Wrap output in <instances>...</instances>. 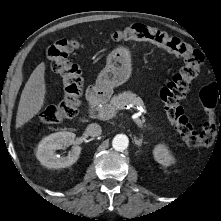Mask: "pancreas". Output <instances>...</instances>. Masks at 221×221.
<instances>
[{
	"label": "pancreas",
	"instance_id": "obj_1",
	"mask_svg": "<svg viewBox=\"0 0 221 221\" xmlns=\"http://www.w3.org/2000/svg\"><path fill=\"white\" fill-rule=\"evenodd\" d=\"M132 104L134 108L136 107H144L143 100L138 97L135 93H132L130 91H124L123 93H120L116 96H113L110 100L109 104L104 105L101 108H97V110H111V111H117L122 110L125 108L126 105ZM142 123L145 122V119L142 118Z\"/></svg>",
	"mask_w": 221,
	"mask_h": 221
}]
</instances>
